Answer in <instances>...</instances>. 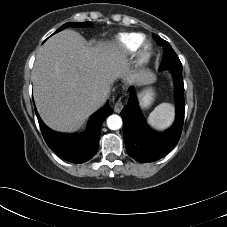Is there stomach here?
<instances>
[{"mask_svg": "<svg viewBox=\"0 0 227 227\" xmlns=\"http://www.w3.org/2000/svg\"><path fill=\"white\" fill-rule=\"evenodd\" d=\"M153 96H154V93L151 89H147L145 91H143L141 94H140V101H141V105L144 107V108H147L150 106V104L152 103L153 101Z\"/></svg>", "mask_w": 227, "mask_h": 227, "instance_id": "0dacf381", "label": "stomach"}]
</instances>
